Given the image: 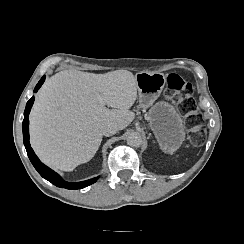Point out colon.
<instances>
[{"label": "colon", "mask_w": 244, "mask_h": 244, "mask_svg": "<svg viewBox=\"0 0 244 244\" xmlns=\"http://www.w3.org/2000/svg\"><path fill=\"white\" fill-rule=\"evenodd\" d=\"M165 93L177 102L179 111L186 115L190 127L189 140L193 144H201L206 137L202 125V116L197 111V105L192 96V86L178 74H170L166 81Z\"/></svg>", "instance_id": "obj_1"}]
</instances>
